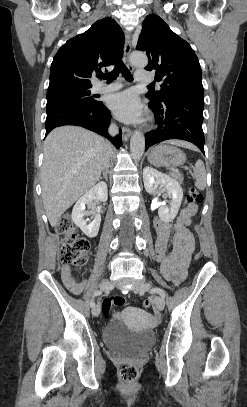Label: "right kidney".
I'll use <instances>...</instances> for the list:
<instances>
[{
  "mask_svg": "<svg viewBox=\"0 0 247 407\" xmlns=\"http://www.w3.org/2000/svg\"><path fill=\"white\" fill-rule=\"evenodd\" d=\"M108 199L107 185L104 182H100L88 190L74 205L72 210V221L83 231V233L89 238L97 236L101 223V215L97 212H91L94 216L92 222L88 219H84L87 214L85 211L86 205L92 206L93 201L99 200L106 202Z\"/></svg>",
  "mask_w": 247,
  "mask_h": 407,
  "instance_id": "right-kidney-1",
  "label": "right kidney"
}]
</instances>
